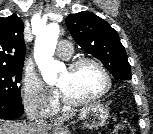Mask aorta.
<instances>
[{
	"instance_id": "obj_1",
	"label": "aorta",
	"mask_w": 153,
	"mask_h": 134,
	"mask_svg": "<svg viewBox=\"0 0 153 134\" xmlns=\"http://www.w3.org/2000/svg\"><path fill=\"white\" fill-rule=\"evenodd\" d=\"M59 32L57 24H49L37 34L35 40V61L47 84H54L57 81L58 73L62 68L61 63L53 58Z\"/></svg>"
}]
</instances>
